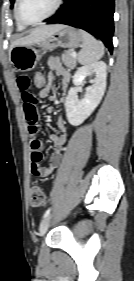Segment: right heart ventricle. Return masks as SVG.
Masks as SVG:
<instances>
[{
	"label": "right heart ventricle",
	"mask_w": 134,
	"mask_h": 281,
	"mask_svg": "<svg viewBox=\"0 0 134 281\" xmlns=\"http://www.w3.org/2000/svg\"><path fill=\"white\" fill-rule=\"evenodd\" d=\"M16 24L18 30H24L26 26L22 25L17 19H16Z\"/></svg>",
	"instance_id": "1"
}]
</instances>
